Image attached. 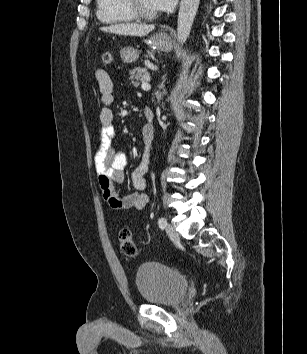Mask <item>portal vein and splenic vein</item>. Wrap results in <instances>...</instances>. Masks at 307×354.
<instances>
[{
  "label": "portal vein and splenic vein",
  "mask_w": 307,
  "mask_h": 354,
  "mask_svg": "<svg viewBox=\"0 0 307 354\" xmlns=\"http://www.w3.org/2000/svg\"><path fill=\"white\" fill-rule=\"evenodd\" d=\"M141 88L145 91L149 90L151 88L150 84L148 82H143L141 85Z\"/></svg>",
  "instance_id": "obj_1"
}]
</instances>
